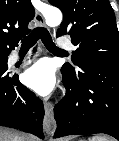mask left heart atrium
Returning a JSON list of instances; mask_svg holds the SVG:
<instances>
[{
    "label": "left heart atrium",
    "instance_id": "39dd6f15",
    "mask_svg": "<svg viewBox=\"0 0 119 141\" xmlns=\"http://www.w3.org/2000/svg\"><path fill=\"white\" fill-rule=\"evenodd\" d=\"M25 83L41 95L49 94L55 86V71L49 60L36 62L24 73Z\"/></svg>",
    "mask_w": 119,
    "mask_h": 141
}]
</instances>
